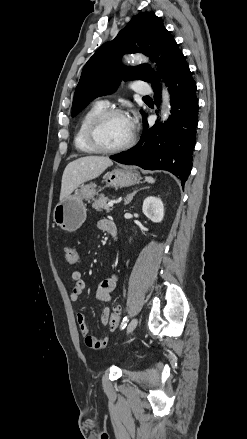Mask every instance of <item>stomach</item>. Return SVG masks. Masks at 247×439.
Listing matches in <instances>:
<instances>
[{"mask_svg":"<svg viewBox=\"0 0 247 439\" xmlns=\"http://www.w3.org/2000/svg\"><path fill=\"white\" fill-rule=\"evenodd\" d=\"M104 181L111 187H127L138 184L140 175L133 168H117L104 175ZM94 184H82L75 194L60 201L53 210V220L63 230L74 232L86 219L83 200H91L97 194Z\"/></svg>","mask_w":247,"mask_h":439,"instance_id":"1","label":"stomach"}]
</instances>
